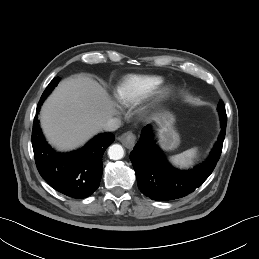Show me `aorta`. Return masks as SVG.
<instances>
[{
	"label": "aorta",
	"mask_w": 259,
	"mask_h": 259,
	"mask_svg": "<svg viewBox=\"0 0 259 259\" xmlns=\"http://www.w3.org/2000/svg\"><path fill=\"white\" fill-rule=\"evenodd\" d=\"M108 155H109L110 159H112V160L122 159L124 156V149L121 145L114 144L109 147Z\"/></svg>",
	"instance_id": "1"
}]
</instances>
